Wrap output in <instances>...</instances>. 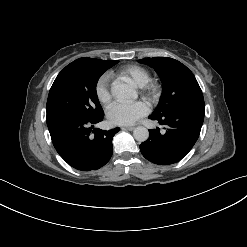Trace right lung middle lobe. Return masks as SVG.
Segmentation results:
<instances>
[{
	"label": "right lung middle lobe",
	"instance_id": "right-lung-middle-lobe-1",
	"mask_svg": "<svg viewBox=\"0 0 247 247\" xmlns=\"http://www.w3.org/2000/svg\"><path fill=\"white\" fill-rule=\"evenodd\" d=\"M118 60H97L66 66L56 77L47 100V125L67 118H95L103 113L96 85L100 76Z\"/></svg>",
	"mask_w": 247,
	"mask_h": 247
}]
</instances>
